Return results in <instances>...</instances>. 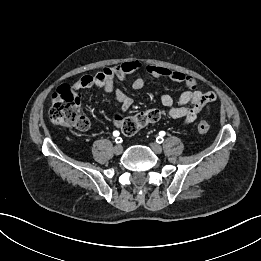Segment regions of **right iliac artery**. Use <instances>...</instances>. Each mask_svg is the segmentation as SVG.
I'll list each match as a JSON object with an SVG mask.
<instances>
[{"label": "right iliac artery", "mask_w": 261, "mask_h": 261, "mask_svg": "<svg viewBox=\"0 0 261 261\" xmlns=\"http://www.w3.org/2000/svg\"><path fill=\"white\" fill-rule=\"evenodd\" d=\"M113 135H114V136H119V132H118V131H114V132H113ZM115 142L118 143V144L121 143V142H122V138H121V137H117V138L115 139Z\"/></svg>", "instance_id": "82829eb1"}]
</instances>
